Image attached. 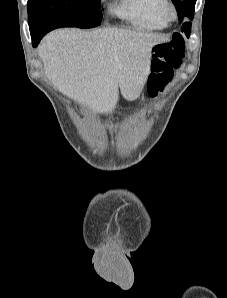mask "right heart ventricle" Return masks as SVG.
<instances>
[{"instance_id":"obj_1","label":"right heart ventricle","mask_w":227,"mask_h":298,"mask_svg":"<svg viewBox=\"0 0 227 298\" xmlns=\"http://www.w3.org/2000/svg\"><path fill=\"white\" fill-rule=\"evenodd\" d=\"M163 0H119L111 11L119 18L142 30H161L168 21L161 13Z\"/></svg>"}]
</instances>
